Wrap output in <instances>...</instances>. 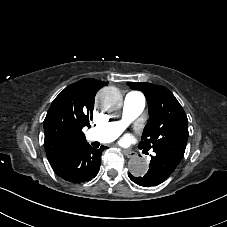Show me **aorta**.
I'll return each instance as SVG.
<instances>
[{"label": "aorta", "mask_w": 227, "mask_h": 227, "mask_svg": "<svg viewBox=\"0 0 227 227\" xmlns=\"http://www.w3.org/2000/svg\"><path fill=\"white\" fill-rule=\"evenodd\" d=\"M96 103L106 111H115L122 105V95L115 87H105L98 92ZM128 167L132 175L140 177L147 173L148 162L137 156L129 160Z\"/></svg>", "instance_id": "762f6f07"}]
</instances>
